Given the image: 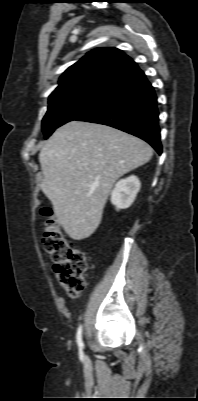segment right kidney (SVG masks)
<instances>
[{
  "label": "right kidney",
  "instance_id": "obj_1",
  "mask_svg": "<svg viewBox=\"0 0 198 401\" xmlns=\"http://www.w3.org/2000/svg\"><path fill=\"white\" fill-rule=\"evenodd\" d=\"M140 187L141 183L134 175L119 180L111 192V203L117 210L129 208L134 202Z\"/></svg>",
  "mask_w": 198,
  "mask_h": 401
}]
</instances>
